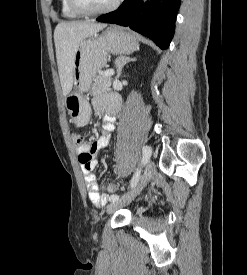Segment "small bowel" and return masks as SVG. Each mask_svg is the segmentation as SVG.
Returning a JSON list of instances; mask_svg holds the SVG:
<instances>
[{"label": "small bowel", "instance_id": "obj_1", "mask_svg": "<svg viewBox=\"0 0 247 275\" xmlns=\"http://www.w3.org/2000/svg\"><path fill=\"white\" fill-rule=\"evenodd\" d=\"M119 98L115 95H100L94 98L93 105L97 112L107 111L101 135L92 143L83 144L78 148V160L81 165L89 199L93 204L101 205L107 202V195L100 192L94 170L97 167L96 154L110 142L115 128L113 112L119 107Z\"/></svg>", "mask_w": 247, "mask_h": 275}]
</instances>
